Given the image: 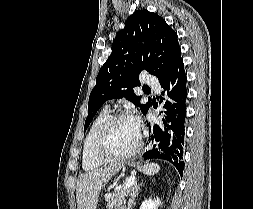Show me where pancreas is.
Returning a JSON list of instances; mask_svg holds the SVG:
<instances>
[{"instance_id": "cf45deb5", "label": "pancreas", "mask_w": 253, "mask_h": 209, "mask_svg": "<svg viewBox=\"0 0 253 209\" xmlns=\"http://www.w3.org/2000/svg\"><path fill=\"white\" fill-rule=\"evenodd\" d=\"M123 187L124 186L115 191L113 194L106 196V206L108 209H113L114 207L116 209V207H120L125 203L126 197L128 196L131 187L127 188L126 190H124Z\"/></svg>"}]
</instances>
